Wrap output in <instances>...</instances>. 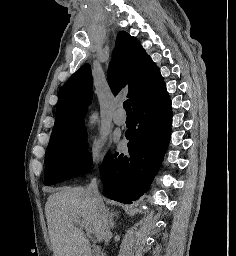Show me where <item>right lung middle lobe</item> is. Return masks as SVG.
I'll list each match as a JSON object with an SVG mask.
<instances>
[{
    "label": "right lung middle lobe",
    "mask_w": 236,
    "mask_h": 256,
    "mask_svg": "<svg viewBox=\"0 0 236 256\" xmlns=\"http://www.w3.org/2000/svg\"><path fill=\"white\" fill-rule=\"evenodd\" d=\"M92 168V157L87 150L83 125L71 133L50 140L45 154L44 185L82 175Z\"/></svg>",
    "instance_id": "right-lung-middle-lobe-1"
}]
</instances>
